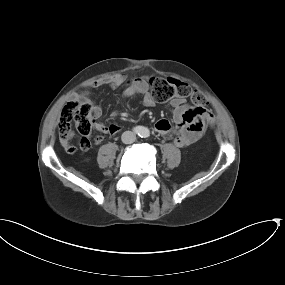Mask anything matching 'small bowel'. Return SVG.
Segmentation results:
<instances>
[{
	"label": "small bowel",
	"instance_id": "obj_1",
	"mask_svg": "<svg viewBox=\"0 0 285 285\" xmlns=\"http://www.w3.org/2000/svg\"><path fill=\"white\" fill-rule=\"evenodd\" d=\"M124 81L125 78L122 75H111L95 79L89 82L85 89L74 93L71 100L89 101L93 90L103 85H109L113 89H118L123 85ZM123 94L126 98L141 96L142 104L145 107H154L156 104L149 92V84L145 77L133 78ZM171 106L173 108V122L162 118L156 122L155 128L176 147L186 148L202 137L205 123L208 121L211 113L205 108L193 107L185 99L181 98L172 100ZM114 114L117 115L118 112ZM101 115L102 109L99 106H94L92 114L93 129L109 136L116 135L121 130V126L116 123L106 124L100 121ZM182 131L183 133L181 134ZM65 148L69 154L76 153L79 148L83 151H88L91 148V142L88 139H82L79 147L75 144H68Z\"/></svg>",
	"mask_w": 285,
	"mask_h": 285
}]
</instances>
